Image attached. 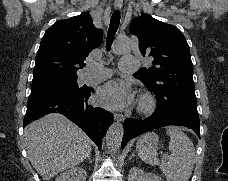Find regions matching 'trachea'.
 Masks as SVG:
<instances>
[{"instance_id":"1","label":"trachea","mask_w":228,"mask_h":181,"mask_svg":"<svg viewBox=\"0 0 228 181\" xmlns=\"http://www.w3.org/2000/svg\"><path fill=\"white\" fill-rule=\"evenodd\" d=\"M120 25V12L119 10H115V12L111 16L110 26L106 38V49L107 51L111 50V45L113 43L114 36L116 31L118 30Z\"/></svg>"}]
</instances>
